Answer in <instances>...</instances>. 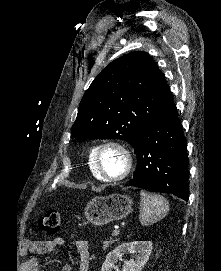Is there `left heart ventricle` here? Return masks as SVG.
<instances>
[{
  "mask_svg": "<svg viewBox=\"0 0 221 271\" xmlns=\"http://www.w3.org/2000/svg\"><path fill=\"white\" fill-rule=\"evenodd\" d=\"M103 150H106L107 153L103 154L101 163L103 172L106 173L105 177H121L122 169H125V166H119V156H122L121 152H117V147H104Z\"/></svg>",
  "mask_w": 221,
  "mask_h": 271,
  "instance_id": "b2bd125f",
  "label": "left heart ventricle"
}]
</instances>
